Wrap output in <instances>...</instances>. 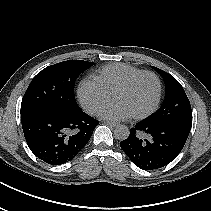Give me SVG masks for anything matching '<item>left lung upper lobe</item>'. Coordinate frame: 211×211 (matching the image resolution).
<instances>
[{"label":"left lung upper lobe","mask_w":211,"mask_h":211,"mask_svg":"<svg viewBox=\"0 0 211 211\" xmlns=\"http://www.w3.org/2000/svg\"><path fill=\"white\" fill-rule=\"evenodd\" d=\"M153 67V66H152ZM164 79L165 100L161 108L145 119L149 123L167 124L190 132L192 110L188 97L180 83L169 73L153 67Z\"/></svg>","instance_id":"5c2ea615"}]
</instances>
